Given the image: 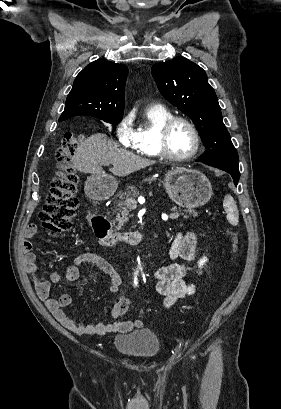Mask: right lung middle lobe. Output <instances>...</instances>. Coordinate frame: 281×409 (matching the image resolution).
Here are the masks:
<instances>
[{"label":"right lung middle lobe","instance_id":"right-lung-middle-lobe-1","mask_svg":"<svg viewBox=\"0 0 281 409\" xmlns=\"http://www.w3.org/2000/svg\"><path fill=\"white\" fill-rule=\"evenodd\" d=\"M99 119L111 124H118L122 120V117H99Z\"/></svg>","mask_w":281,"mask_h":409}]
</instances>
